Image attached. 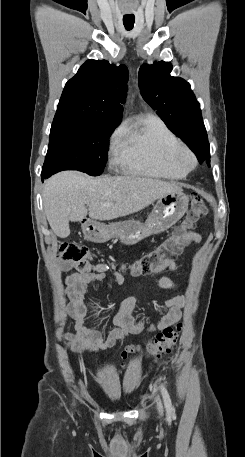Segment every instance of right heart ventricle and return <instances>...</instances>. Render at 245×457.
Returning a JSON list of instances; mask_svg holds the SVG:
<instances>
[{
  "instance_id": "obj_1",
  "label": "right heart ventricle",
  "mask_w": 245,
  "mask_h": 457,
  "mask_svg": "<svg viewBox=\"0 0 245 457\" xmlns=\"http://www.w3.org/2000/svg\"><path fill=\"white\" fill-rule=\"evenodd\" d=\"M181 144L176 134L159 117L146 118L126 125L120 144L113 148V155L132 169L158 178L179 180L187 172L159 161V154Z\"/></svg>"
}]
</instances>
